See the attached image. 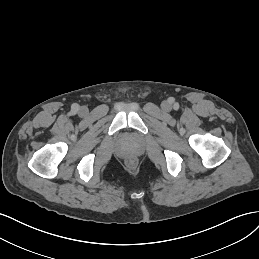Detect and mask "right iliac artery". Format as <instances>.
<instances>
[{"label":"right iliac artery","mask_w":259,"mask_h":259,"mask_svg":"<svg viewBox=\"0 0 259 259\" xmlns=\"http://www.w3.org/2000/svg\"><path fill=\"white\" fill-rule=\"evenodd\" d=\"M72 110L74 111V112H77L78 110H79V105L78 104H73L72 105Z\"/></svg>","instance_id":"obj_1"}]
</instances>
